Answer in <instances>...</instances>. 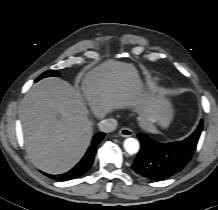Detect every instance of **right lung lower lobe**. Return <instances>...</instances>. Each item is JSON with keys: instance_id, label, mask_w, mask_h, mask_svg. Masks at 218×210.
Here are the masks:
<instances>
[{"instance_id": "obj_1", "label": "right lung lower lobe", "mask_w": 218, "mask_h": 210, "mask_svg": "<svg viewBox=\"0 0 218 210\" xmlns=\"http://www.w3.org/2000/svg\"><path fill=\"white\" fill-rule=\"evenodd\" d=\"M103 132H99L96 135H94L91 146L89 147L88 151L86 152L85 156L82 158V160L70 171L60 174V175H48L50 178L56 179V180H70L77 178L83 174H85L89 168L92 166L94 157H95V150L97 145L102 141L104 137Z\"/></svg>"}]
</instances>
